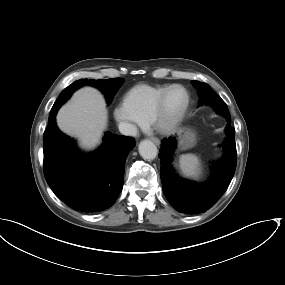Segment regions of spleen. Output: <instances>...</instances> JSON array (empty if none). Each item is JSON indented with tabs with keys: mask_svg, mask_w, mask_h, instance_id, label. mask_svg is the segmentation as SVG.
Instances as JSON below:
<instances>
[{
	"mask_svg": "<svg viewBox=\"0 0 285 285\" xmlns=\"http://www.w3.org/2000/svg\"><path fill=\"white\" fill-rule=\"evenodd\" d=\"M179 162L185 176L197 178L201 174V160L196 154H182Z\"/></svg>",
	"mask_w": 285,
	"mask_h": 285,
	"instance_id": "3e777b00",
	"label": "spleen"
}]
</instances>
